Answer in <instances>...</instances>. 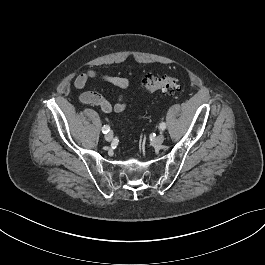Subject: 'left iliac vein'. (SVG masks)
<instances>
[{"label":"left iliac vein","mask_w":265,"mask_h":265,"mask_svg":"<svg viewBox=\"0 0 265 265\" xmlns=\"http://www.w3.org/2000/svg\"><path fill=\"white\" fill-rule=\"evenodd\" d=\"M164 139H165L164 135L162 133L159 134L158 136H156L153 139V141H152L153 146H155V147L160 146L163 143Z\"/></svg>","instance_id":"left-iliac-vein-1"}]
</instances>
